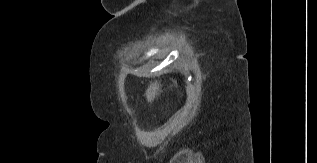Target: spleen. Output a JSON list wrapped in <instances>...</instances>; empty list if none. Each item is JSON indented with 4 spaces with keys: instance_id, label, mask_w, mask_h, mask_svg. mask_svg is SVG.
<instances>
[{
    "instance_id": "obj_1",
    "label": "spleen",
    "mask_w": 317,
    "mask_h": 163,
    "mask_svg": "<svg viewBox=\"0 0 317 163\" xmlns=\"http://www.w3.org/2000/svg\"><path fill=\"white\" fill-rule=\"evenodd\" d=\"M159 87H160V84L157 81L150 84V86L148 87L146 91V96L148 100H153V98H155V95H157L159 91Z\"/></svg>"
}]
</instances>
